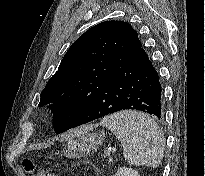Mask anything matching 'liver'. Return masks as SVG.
I'll list each match as a JSON object with an SVG mask.
<instances>
[{
	"mask_svg": "<svg viewBox=\"0 0 205 176\" xmlns=\"http://www.w3.org/2000/svg\"><path fill=\"white\" fill-rule=\"evenodd\" d=\"M87 129H89V128L88 127H83V128H80V129L73 130L71 132V134L67 136V138H72V137L76 136L77 134H79L81 131L87 130Z\"/></svg>",
	"mask_w": 205,
	"mask_h": 176,
	"instance_id": "1",
	"label": "liver"
}]
</instances>
